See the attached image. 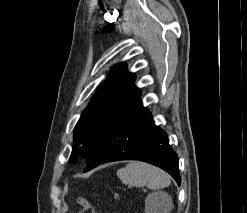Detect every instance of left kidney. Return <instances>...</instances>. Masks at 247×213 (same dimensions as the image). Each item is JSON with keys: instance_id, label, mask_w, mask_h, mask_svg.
Returning a JSON list of instances; mask_svg holds the SVG:
<instances>
[{"instance_id": "5707ae66", "label": "left kidney", "mask_w": 247, "mask_h": 213, "mask_svg": "<svg viewBox=\"0 0 247 213\" xmlns=\"http://www.w3.org/2000/svg\"><path fill=\"white\" fill-rule=\"evenodd\" d=\"M152 200L147 199L146 200V209H145V213H156V211H154V209L152 208Z\"/></svg>"}]
</instances>
